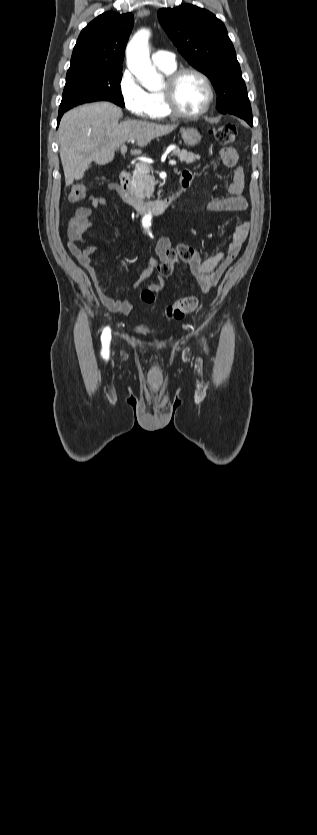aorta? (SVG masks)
Segmentation results:
<instances>
[{"label": "aorta", "mask_w": 317, "mask_h": 835, "mask_svg": "<svg viewBox=\"0 0 317 835\" xmlns=\"http://www.w3.org/2000/svg\"><path fill=\"white\" fill-rule=\"evenodd\" d=\"M149 37L147 29H141L133 36L126 48L127 66L143 87L154 90L162 86V75L151 64ZM150 219L148 215L146 220Z\"/></svg>", "instance_id": "1"}]
</instances>
